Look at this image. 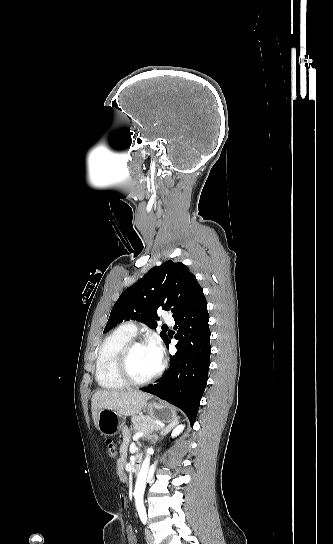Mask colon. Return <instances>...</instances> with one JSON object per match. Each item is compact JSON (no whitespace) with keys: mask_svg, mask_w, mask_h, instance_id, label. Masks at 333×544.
<instances>
[{"mask_svg":"<svg viewBox=\"0 0 333 544\" xmlns=\"http://www.w3.org/2000/svg\"><path fill=\"white\" fill-rule=\"evenodd\" d=\"M105 445H106L107 453H108L109 457L110 458H115L117 456V449H116L115 442L112 439H107L105 441Z\"/></svg>","mask_w":333,"mask_h":544,"instance_id":"1","label":"colon"}]
</instances>
